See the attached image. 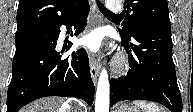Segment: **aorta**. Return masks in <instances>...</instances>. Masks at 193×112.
<instances>
[{
	"label": "aorta",
	"instance_id": "aorta-1",
	"mask_svg": "<svg viewBox=\"0 0 193 112\" xmlns=\"http://www.w3.org/2000/svg\"><path fill=\"white\" fill-rule=\"evenodd\" d=\"M95 112H109V80L105 69L102 70L98 80Z\"/></svg>",
	"mask_w": 193,
	"mask_h": 112
}]
</instances>
